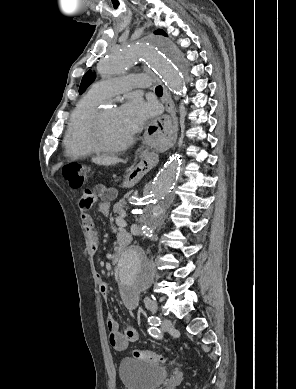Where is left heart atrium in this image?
Segmentation results:
<instances>
[{
	"label": "left heart atrium",
	"mask_w": 296,
	"mask_h": 389,
	"mask_svg": "<svg viewBox=\"0 0 296 389\" xmlns=\"http://www.w3.org/2000/svg\"><path fill=\"white\" fill-rule=\"evenodd\" d=\"M152 114V107L139 97H132L118 110L120 122L130 136L139 132Z\"/></svg>",
	"instance_id": "39dd6f15"
}]
</instances>
